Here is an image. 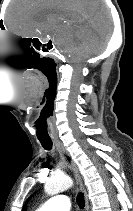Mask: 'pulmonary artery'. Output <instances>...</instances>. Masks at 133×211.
<instances>
[{
    "label": "pulmonary artery",
    "mask_w": 133,
    "mask_h": 211,
    "mask_svg": "<svg viewBox=\"0 0 133 211\" xmlns=\"http://www.w3.org/2000/svg\"><path fill=\"white\" fill-rule=\"evenodd\" d=\"M70 200L66 195H56L43 203L36 211H70Z\"/></svg>",
    "instance_id": "e3ab8cb5"
}]
</instances>
